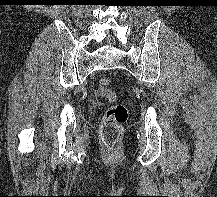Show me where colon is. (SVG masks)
<instances>
[{
    "label": "colon",
    "instance_id": "5ec220e1",
    "mask_svg": "<svg viewBox=\"0 0 217 197\" xmlns=\"http://www.w3.org/2000/svg\"><path fill=\"white\" fill-rule=\"evenodd\" d=\"M110 85L111 79L109 77L99 79L98 93L111 103V106L104 114L100 127V136L105 149L107 151H114L119 146L123 133V125L128 118V110L123 104L117 103V96L110 89Z\"/></svg>",
    "mask_w": 217,
    "mask_h": 197
}]
</instances>
